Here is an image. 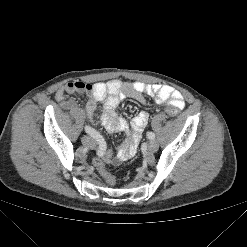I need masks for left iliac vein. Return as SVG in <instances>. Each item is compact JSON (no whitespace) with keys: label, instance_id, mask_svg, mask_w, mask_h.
Here are the masks:
<instances>
[{"label":"left iliac vein","instance_id":"1","mask_svg":"<svg viewBox=\"0 0 247 247\" xmlns=\"http://www.w3.org/2000/svg\"><path fill=\"white\" fill-rule=\"evenodd\" d=\"M159 145H158V142L156 140H151L148 144V151L149 152H156L157 149H158Z\"/></svg>","mask_w":247,"mask_h":247}]
</instances>
